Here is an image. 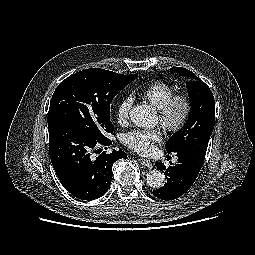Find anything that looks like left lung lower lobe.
<instances>
[{
    "label": "left lung lower lobe",
    "instance_id": "1",
    "mask_svg": "<svg viewBox=\"0 0 255 255\" xmlns=\"http://www.w3.org/2000/svg\"><path fill=\"white\" fill-rule=\"evenodd\" d=\"M206 153L199 150H187L177 153V164L166 168L162 162H157L156 167L163 171L166 183L153 194L162 200H173L187 192L195 182L204 163Z\"/></svg>",
    "mask_w": 255,
    "mask_h": 255
}]
</instances>
